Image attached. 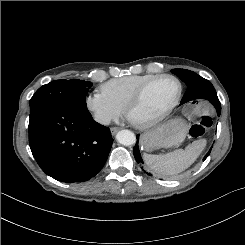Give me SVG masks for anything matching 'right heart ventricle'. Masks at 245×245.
I'll return each mask as SVG.
<instances>
[{
	"label": "right heart ventricle",
	"mask_w": 245,
	"mask_h": 245,
	"mask_svg": "<svg viewBox=\"0 0 245 245\" xmlns=\"http://www.w3.org/2000/svg\"><path fill=\"white\" fill-rule=\"evenodd\" d=\"M156 76L153 74H143L111 79L101 86V91L115 104L125 110L127 103L139 87Z\"/></svg>",
	"instance_id": "1"
}]
</instances>
